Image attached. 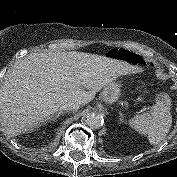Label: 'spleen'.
I'll list each match as a JSON object with an SVG mask.
<instances>
[{
	"instance_id": "1",
	"label": "spleen",
	"mask_w": 177,
	"mask_h": 177,
	"mask_svg": "<svg viewBox=\"0 0 177 177\" xmlns=\"http://www.w3.org/2000/svg\"><path fill=\"white\" fill-rule=\"evenodd\" d=\"M170 107L169 95L160 94L150 113L134 116L129 120V125L140 134L147 135L151 145H157L166 137L172 126Z\"/></svg>"
}]
</instances>
